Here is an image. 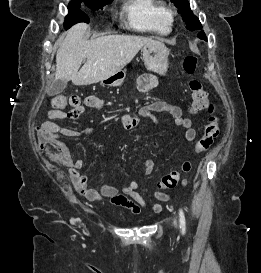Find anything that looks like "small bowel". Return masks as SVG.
Masks as SVG:
<instances>
[{"instance_id": "small-bowel-1", "label": "small bowel", "mask_w": 261, "mask_h": 273, "mask_svg": "<svg viewBox=\"0 0 261 273\" xmlns=\"http://www.w3.org/2000/svg\"><path fill=\"white\" fill-rule=\"evenodd\" d=\"M159 84V79L154 74H144L139 79V89L142 92H147ZM85 105L87 107L102 109L104 108V103L102 100L95 96H89L85 100ZM153 112H168L174 123L183 128L185 133V140L192 142L196 138V131L192 126V122L189 118L183 116L182 110L178 106L167 104L163 101L152 102L141 109V114L145 117L150 118L155 124H157L156 118L153 116ZM49 121L44 122V125L48 130L69 138H79L84 135L91 133L92 128L86 127L82 130H74L66 127H61L52 120H73L78 121L79 118H72L68 116V112L63 109L53 107L49 110L47 114ZM119 120L125 129H133L137 125V118L129 114H121ZM156 146V143L153 142ZM65 149V154L67 158L66 165L69 168L70 179L74 185L75 190L85 198L91 201L102 200L106 197L110 200L111 204L117 207H123L130 210L133 214L140 213L142 208L149 209L153 213H159L162 210V206L159 202H164L169 199L167 194L161 192H155L153 194L154 198L159 201L155 203H149L139 192V185L136 181H130L125 185L121 191L116 187L102 184L99 190L90 188L88 186L89 175L81 174L78 170L84 165L82 159H73L68 148L63 146ZM138 149V148H136ZM142 166L144 168V173L149 175L154 170V162L152 159H144L142 161Z\"/></svg>"}]
</instances>
